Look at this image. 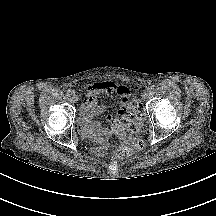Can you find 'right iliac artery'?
Masks as SVG:
<instances>
[{"label": "right iliac artery", "instance_id": "obj_1", "mask_svg": "<svg viewBox=\"0 0 216 216\" xmlns=\"http://www.w3.org/2000/svg\"><path fill=\"white\" fill-rule=\"evenodd\" d=\"M67 93L71 95L72 93H74V91L71 89H68Z\"/></svg>", "mask_w": 216, "mask_h": 216}]
</instances>
